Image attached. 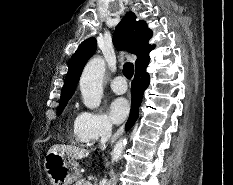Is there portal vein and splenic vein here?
I'll use <instances>...</instances> for the list:
<instances>
[{
	"label": "portal vein and splenic vein",
	"mask_w": 233,
	"mask_h": 185,
	"mask_svg": "<svg viewBox=\"0 0 233 185\" xmlns=\"http://www.w3.org/2000/svg\"><path fill=\"white\" fill-rule=\"evenodd\" d=\"M87 185H92V184L90 182H88Z\"/></svg>",
	"instance_id": "obj_1"
}]
</instances>
